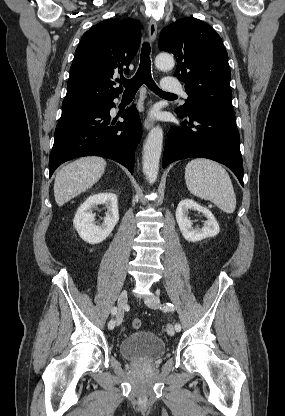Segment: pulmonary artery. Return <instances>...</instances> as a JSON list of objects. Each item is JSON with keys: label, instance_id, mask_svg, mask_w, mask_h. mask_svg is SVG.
Here are the masks:
<instances>
[{"label": "pulmonary artery", "instance_id": "1", "mask_svg": "<svg viewBox=\"0 0 285 416\" xmlns=\"http://www.w3.org/2000/svg\"><path fill=\"white\" fill-rule=\"evenodd\" d=\"M173 79L171 78H164L162 80V86L167 89V94L169 96H176L178 93L181 94L183 97L187 98L188 94L185 88L179 83H172Z\"/></svg>", "mask_w": 285, "mask_h": 416}]
</instances>
